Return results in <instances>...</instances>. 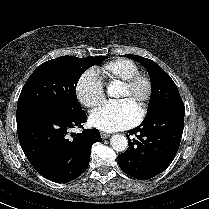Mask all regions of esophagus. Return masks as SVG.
Masks as SVG:
<instances>
[{
	"label": "esophagus",
	"instance_id": "obj_1",
	"mask_svg": "<svg viewBox=\"0 0 209 209\" xmlns=\"http://www.w3.org/2000/svg\"><path fill=\"white\" fill-rule=\"evenodd\" d=\"M101 138L102 139H107V138H109L110 137V134H106V133H103V132H101Z\"/></svg>",
	"mask_w": 209,
	"mask_h": 209
}]
</instances>
